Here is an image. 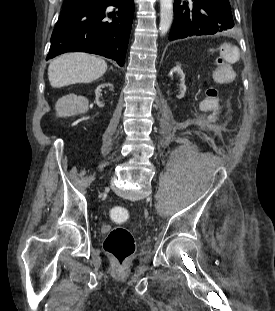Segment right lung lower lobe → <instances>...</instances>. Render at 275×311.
<instances>
[{"instance_id": "obj_1", "label": "right lung lower lobe", "mask_w": 275, "mask_h": 311, "mask_svg": "<svg viewBox=\"0 0 275 311\" xmlns=\"http://www.w3.org/2000/svg\"><path fill=\"white\" fill-rule=\"evenodd\" d=\"M108 6L117 10L109 13ZM133 13V0H84L64 7L46 60L81 51L105 56L123 66Z\"/></svg>"}]
</instances>
